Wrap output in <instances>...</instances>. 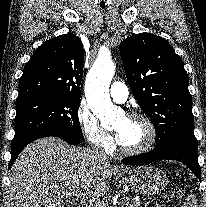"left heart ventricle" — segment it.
<instances>
[{"instance_id":"obj_1","label":"left heart ventricle","mask_w":206,"mask_h":207,"mask_svg":"<svg viewBox=\"0 0 206 207\" xmlns=\"http://www.w3.org/2000/svg\"><path fill=\"white\" fill-rule=\"evenodd\" d=\"M114 130L120 135L119 142L129 149L144 145L148 138V129L140 120H128L123 117L117 122Z\"/></svg>"}]
</instances>
